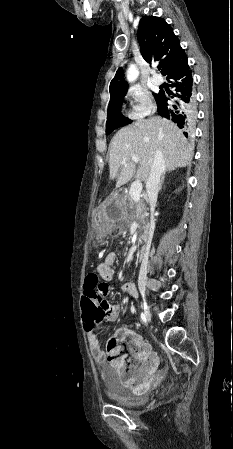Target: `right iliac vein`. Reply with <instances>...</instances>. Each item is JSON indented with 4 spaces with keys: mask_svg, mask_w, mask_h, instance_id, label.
I'll return each instance as SVG.
<instances>
[{
    "mask_svg": "<svg viewBox=\"0 0 233 449\" xmlns=\"http://www.w3.org/2000/svg\"><path fill=\"white\" fill-rule=\"evenodd\" d=\"M143 308H144V315H145V318H146V320H147L148 322H150V321H151V313H150L149 308H148V306L146 305L145 302H144V304H143Z\"/></svg>",
    "mask_w": 233,
    "mask_h": 449,
    "instance_id": "63e3f726",
    "label": "right iliac vein"
}]
</instances>
